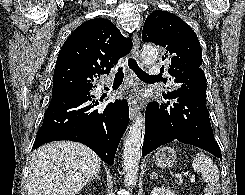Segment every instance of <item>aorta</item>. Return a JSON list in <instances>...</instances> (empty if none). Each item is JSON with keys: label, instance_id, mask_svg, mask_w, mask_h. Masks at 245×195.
<instances>
[{"label": "aorta", "instance_id": "762f6f07", "mask_svg": "<svg viewBox=\"0 0 245 195\" xmlns=\"http://www.w3.org/2000/svg\"><path fill=\"white\" fill-rule=\"evenodd\" d=\"M157 57L155 46L147 44L141 50L142 62L145 65L152 64ZM145 134V120L141 113L135 118L129 128L124 141L123 149V171L125 174V185L133 187L136 185L142 144Z\"/></svg>", "mask_w": 245, "mask_h": 195}]
</instances>
